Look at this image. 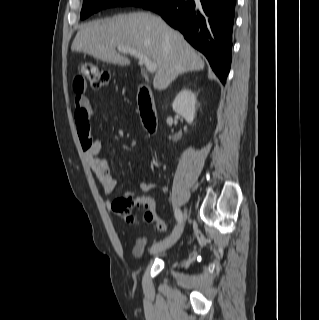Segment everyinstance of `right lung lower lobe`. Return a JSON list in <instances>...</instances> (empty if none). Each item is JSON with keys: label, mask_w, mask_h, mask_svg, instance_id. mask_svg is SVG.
Segmentation results:
<instances>
[{"label": "right lung lower lobe", "mask_w": 319, "mask_h": 320, "mask_svg": "<svg viewBox=\"0 0 319 320\" xmlns=\"http://www.w3.org/2000/svg\"><path fill=\"white\" fill-rule=\"evenodd\" d=\"M236 0H152L155 11L208 59L222 83L230 70Z\"/></svg>", "instance_id": "1"}]
</instances>
